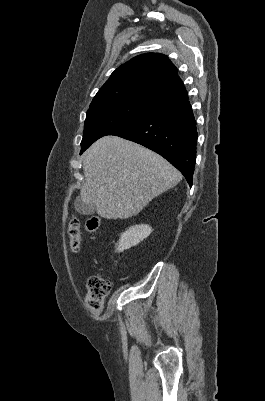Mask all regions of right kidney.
<instances>
[{
    "mask_svg": "<svg viewBox=\"0 0 265 401\" xmlns=\"http://www.w3.org/2000/svg\"><path fill=\"white\" fill-rule=\"evenodd\" d=\"M151 233L152 229L149 225H135V227H129L125 233H122L120 241L117 243V251L122 253L124 249L135 247L140 241L149 237Z\"/></svg>",
    "mask_w": 265,
    "mask_h": 401,
    "instance_id": "1",
    "label": "right kidney"
}]
</instances>
